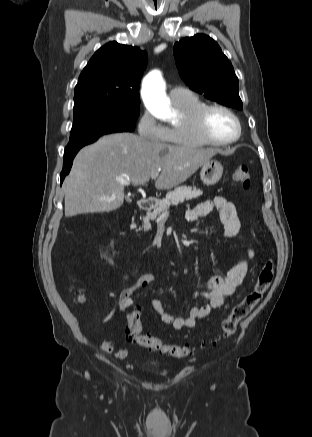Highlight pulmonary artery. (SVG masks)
Here are the masks:
<instances>
[{"mask_svg":"<svg viewBox=\"0 0 312 437\" xmlns=\"http://www.w3.org/2000/svg\"><path fill=\"white\" fill-rule=\"evenodd\" d=\"M190 92L182 87H174L170 90L169 95L173 102L181 101L190 96Z\"/></svg>","mask_w":312,"mask_h":437,"instance_id":"obj_1","label":"pulmonary artery"}]
</instances>
